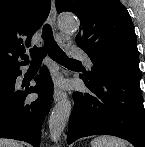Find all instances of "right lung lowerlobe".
<instances>
[{
    "instance_id": "right-lung-lower-lobe-1",
    "label": "right lung lower lobe",
    "mask_w": 145,
    "mask_h": 147,
    "mask_svg": "<svg viewBox=\"0 0 145 147\" xmlns=\"http://www.w3.org/2000/svg\"><path fill=\"white\" fill-rule=\"evenodd\" d=\"M19 67L0 73V138L22 140L39 147L42 123L50 111L53 84L43 67L34 79L36 86L19 89L15 85L22 73ZM30 93H38V99L26 101Z\"/></svg>"
}]
</instances>
